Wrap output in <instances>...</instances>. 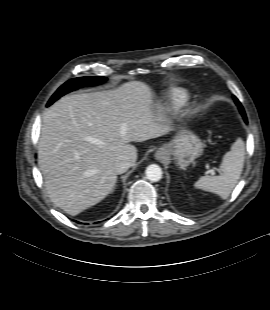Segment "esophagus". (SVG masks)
Listing matches in <instances>:
<instances>
[{
	"mask_svg": "<svg viewBox=\"0 0 270 310\" xmlns=\"http://www.w3.org/2000/svg\"><path fill=\"white\" fill-rule=\"evenodd\" d=\"M167 156V151L165 148H160L159 150L156 151L155 153V158L157 160H163Z\"/></svg>",
	"mask_w": 270,
	"mask_h": 310,
	"instance_id": "esophagus-1",
	"label": "esophagus"
}]
</instances>
